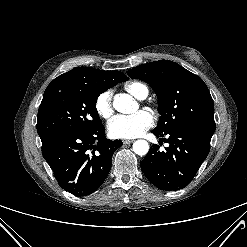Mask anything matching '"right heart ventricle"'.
Returning <instances> with one entry per match:
<instances>
[{"label":"right heart ventricle","mask_w":247,"mask_h":247,"mask_svg":"<svg viewBox=\"0 0 247 247\" xmlns=\"http://www.w3.org/2000/svg\"><path fill=\"white\" fill-rule=\"evenodd\" d=\"M125 89L138 99H143L148 95V88L141 82H129L125 85Z\"/></svg>","instance_id":"1"}]
</instances>
